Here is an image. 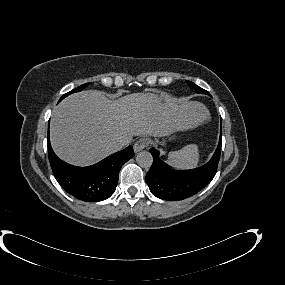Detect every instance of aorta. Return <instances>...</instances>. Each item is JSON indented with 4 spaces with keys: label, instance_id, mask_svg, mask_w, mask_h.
<instances>
[{
    "label": "aorta",
    "instance_id": "obj_1",
    "mask_svg": "<svg viewBox=\"0 0 285 285\" xmlns=\"http://www.w3.org/2000/svg\"><path fill=\"white\" fill-rule=\"evenodd\" d=\"M136 161L139 166L149 168L153 163V156L148 151H141L137 154Z\"/></svg>",
    "mask_w": 285,
    "mask_h": 285
}]
</instances>
